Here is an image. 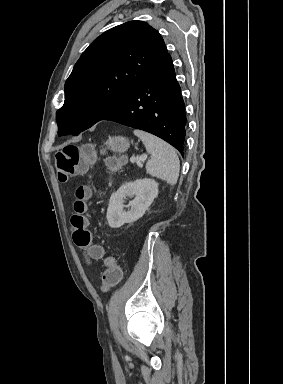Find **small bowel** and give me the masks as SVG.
Instances as JSON below:
<instances>
[{
  "instance_id": "small-bowel-1",
  "label": "small bowel",
  "mask_w": 283,
  "mask_h": 384,
  "mask_svg": "<svg viewBox=\"0 0 283 384\" xmlns=\"http://www.w3.org/2000/svg\"><path fill=\"white\" fill-rule=\"evenodd\" d=\"M87 256V255H86ZM91 256V255H90ZM92 257V256H91ZM87 258V262L90 263V258L89 257H86Z\"/></svg>"
}]
</instances>
